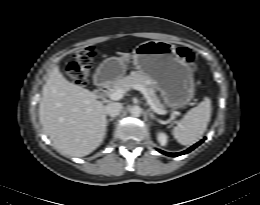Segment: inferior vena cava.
<instances>
[{"label": "inferior vena cava", "mask_w": 260, "mask_h": 205, "mask_svg": "<svg viewBox=\"0 0 260 205\" xmlns=\"http://www.w3.org/2000/svg\"><path fill=\"white\" fill-rule=\"evenodd\" d=\"M121 110H122L121 103L113 102L106 106V114L111 117H115L119 115Z\"/></svg>", "instance_id": "obj_1"}]
</instances>
